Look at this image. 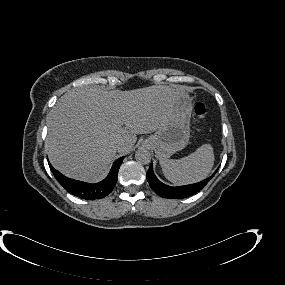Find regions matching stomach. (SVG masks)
Wrapping results in <instances>:
<instances>
[{"label":"stomach","mask_w":285,"mask_h":285,"mask_svg":"<svg viewBox=\"0 0 285 285\" xmlns=\"http://www.w3.org/2000/svg\"><path fill=\"white\" fill-rule=\"evenodd\" d=\"M192 105L189 95L179 91L171 114L159 129L145 140L160 159H166L182 150L190 138V119Z\"/></svg>","instance_id":"stomach-1"}]
</instances>
